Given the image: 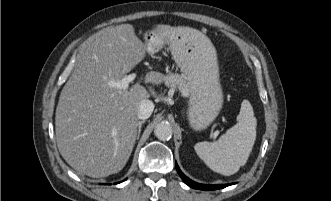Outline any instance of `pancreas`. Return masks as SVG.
Masks as SVG:
<instances>
[{
    "instance_id": "pancreas-1",
    "label": "pancreas",
    "mask_w": 331,
    "mask_h": 201,
    "mask_svg": "<svg viewBox=\"0 0 331 201\" xmlns=\"http://www.w3.org/2000/svg\"><path fill=\"white\" fill-rule=\"evenodd\" d=\"M165 84L170 88H177L183 96L189 95V87L182 75L169 74L165 77Z\"/></svg>"
}]
</instances>
